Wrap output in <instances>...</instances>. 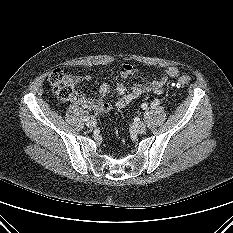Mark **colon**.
<instances>
[{"instance_id":"colon-1","label":"colon","mask_w":233,"mask_h":233,"mask_svg":"<svg viewBox=\"0 0 233 233\" xmlns=\"http://www.w3.org/2000/svg\"><path fill=\"white\" fill-rule=\"evenodd\" d=\"M190 80L188 75H182L176 81V85L185 86ZM49 82L59 100L63 102L78 101L82 98L81 92L75 88L74 79L61 69H55L50 73Z\"/></svg>"}]
</instances>
